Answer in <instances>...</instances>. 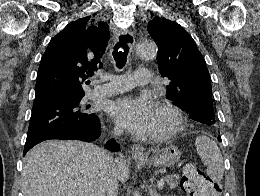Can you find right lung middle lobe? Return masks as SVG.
Listing matches in <instances>:
<instances>
[{
	"label": "right lung middle lobe",
	"mask_w": 260,
	"mask_h": 196,
	"mask_svg": "<svg viewBox=\"0 0 260 196\" xmlns=\"http://www.w3.org/2000/svg\"><path fill=\"white\" fill-rule=\"evenodd\" d=\"M84 95H63L33 105L26 144L94 122L97 116L82 103Z\"/></svg>",
	"instance_id": "obj_1"
}]
</instances>
